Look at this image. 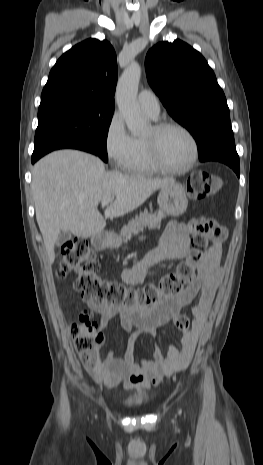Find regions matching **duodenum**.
<instances>
[{
  "mask_svg": "<svg viewBox=\"0 0 263 465\" xmlns=\"http://www.w3.org/2000/svg\"><path fill=\"white\" fill-rule=\"evenodd\" d=\"M109 239L106 235H97L93 239V246L97 250H103L108 246Z\"/></svg>",
  "mask_w": 263,
  "mask_h": 465,
  "instance_id": "obj_1",
  "label": "duodenum"
}]
</instances>
